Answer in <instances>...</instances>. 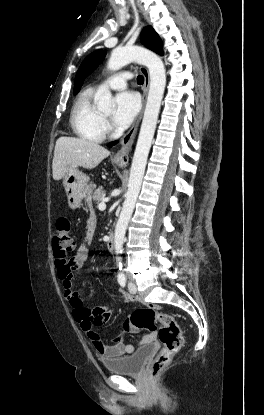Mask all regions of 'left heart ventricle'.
I'll list each match as a JSON object with an SVG mask.
<instances>
[{
  "label": "left heart ventricle",
  "instance_id": "b2bd125f",
  "mask_svg": "<svg viewBox=\"0 0 264 415\" xmlns=\"http://www.w3.org/2000/svg\"><path fill=\"white\" fill-rule=\"evenodd\" d=\"M104 115L108 117V116L111 115V113L110 112H105Z\"/></svg>",
  "mask_w": 264,
  "mask_h": 415
}]
</instances>
